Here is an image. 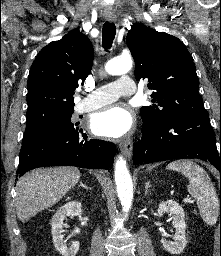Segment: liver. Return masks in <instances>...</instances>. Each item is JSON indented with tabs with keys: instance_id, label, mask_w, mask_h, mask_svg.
<instances>
[{
	"instance_id": "1",
	"label": "liver",
	"mask_w": 221,
	"mask_h": 256,
	"mask_svg": "<svg viewBox=\"0 0 221 256\" xmlns=\"http://www.w3.org/2000/svg\"><path fill=\"white\" fill-rule=\"evenodd\" d=\"M80 179L76 167L34 169L17 182L16 213L27 222L38 212L56 204Z\"/></svg>"
}]
</instances>
